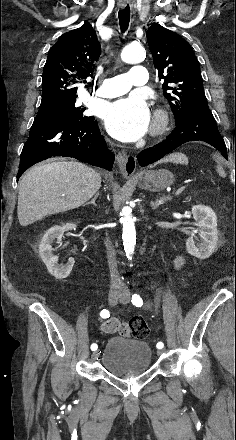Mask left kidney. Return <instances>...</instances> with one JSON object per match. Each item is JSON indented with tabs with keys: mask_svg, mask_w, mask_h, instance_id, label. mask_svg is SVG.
Returning <instances> with one entry per match:
<instances>
[{
	"mask_svg": "<svg viewBox=\"0 0 236 440\" xmlns=\"http://www.w3.org/2000/svg\"><path fill=\"white\" fill-rule=\"evenodd\" d=\"M192 214L199 228L201 242L196 244L197 238L190 237L186 241V249L192 256L204 260L209 258L217 247V216L210 207L204 205H194Z\"/></svg>",
	"mask_w": 236,
	"mask_h": 440,
	"instance_id": "obj_1",
	"label": "left kidney"
}]
</instances>
